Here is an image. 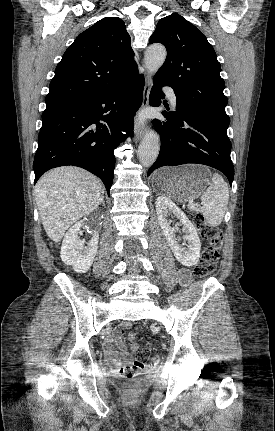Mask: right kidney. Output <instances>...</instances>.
<instances>
[{
  "mask_svg": "<svg viewBox=\"0 0 275 431\" xmlns=\"http://www.w3.org/2000/svg\"><path fill=\"white\" fill-rule=\"evenodd\" d=\"M85 224L84 220L79 221L67 231L60 252L64 264L71 266L78 273H85L90 269L98 248L99 234L97 231H94L87 246L83 240L79 239L78 233Z\"/></svg>",
  "mask_w": 275,
  "mask_h": 431,
  "instance_id": "1",
  "label": "right kidney"
}]
</instances>
